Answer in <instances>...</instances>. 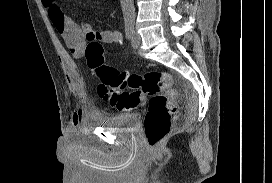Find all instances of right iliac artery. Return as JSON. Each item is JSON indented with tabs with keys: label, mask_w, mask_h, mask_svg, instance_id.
I'll return each mask as SVG.
<instances>
[{
	"label": "right iliac artery",
	"mask_w": 272,
	"mask_h": 183,
	"mask_svg": "<svg viewBox=\"0 0 272 183\" xmlns=\"http://www.w3.org/2000/svg\"><path fill=\"white\" fill-rule=\"evenodd\" d=\"M134 32L133 24H126L125 25V35L127 39H131Z\"/></svg>",
	"instance_id": "82829eb1"
}]
</instances>
